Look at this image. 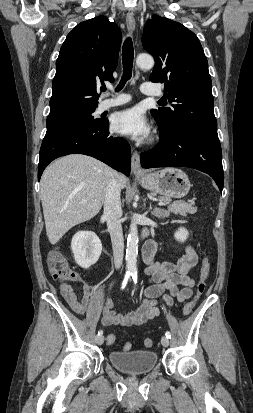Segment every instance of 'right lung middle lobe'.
<instances>
[{"label": "right lung middle lobe", "mask_w": 253, "mask_h": 413, "mask_svg": "<svg viewBox=\"0 0 253 413\" xmlns=\"http://www.w3.org/2000/svg\"><path fill=\"white\" fill-rule=\"evenodd\" d=\"M95 108L74 110L48 116L46 120V134L69 129L95 128L102 125L104 120L95 119L94 116H92Z\"/></svg>", "instance_id": "1"}]
</instances>
